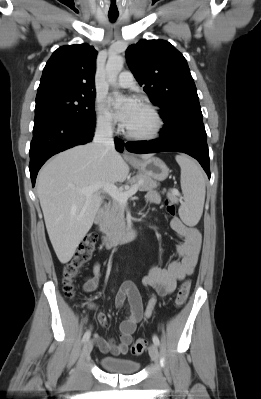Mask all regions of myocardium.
Instances as JSON below:
<instances>
[{
	"label": "myocardium",
	"mask_w": 261,
	"mask_h": 399,
	"mask_svg": "<svg viewBox=\"0 0 261 399\" xmlns=\"http://www.w3.org/2000/svg\"><path fill=\"white\" fill-rule=\"evenodd\" d=\"M144 108H146L149 113L152 115L153 119H154V126L153 128L146 132V133H133L131 131H129L127 128H125L124 133L125 135L133 140H137V141H148V140H152L157 138L160 133L162 132L163 128H164V119L161 115V113L159 112V110L151 103L149 102H143L141 104Z\"/></svg>",
	"instance_id": "1"
}]
</instances>
